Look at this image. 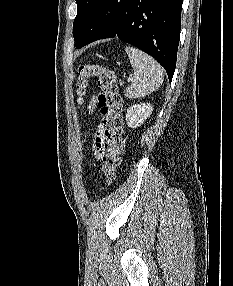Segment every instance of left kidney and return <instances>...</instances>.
Listing matches in <instances>:
<instances>
[{
	"label": "left kidney",
	"instance_id": "1",
	"mask_svg": "<svg viewBox=\"0 0 233 286\" xmlns=\"http://www.w3.org/2000/svg\"><path fill=\"white\" fill-rule=\"evenodd\" d=\"M153 107L149 103L135 104L127 109L126 122L128 127L137 128L150 117Z\"/></svg>",
	"mask_w": 233,
	"mask_h": 286
}]
</instances>
